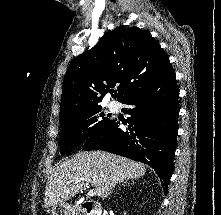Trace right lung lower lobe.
Returning <instances> with one entry per match:
<instances>
[{"mask_svg":"<svg viewBox=\"0 0 221 215\" xmlns=\"http://www.w3.org/2000/svg\"><path fill=\"white\" fill-rule=\"evenodd\" d=\"M179 89L173 68L148 87L130 95L122 111L129 114L128 129L111 120L89 136L84 150L101 149L151 166L167 192L173 170L178 132Z\"/></svg>","mask_w":221,"mask_h":215,"instance_id":"obj_1","label":"right lung lower lobe"}]
</instances>
